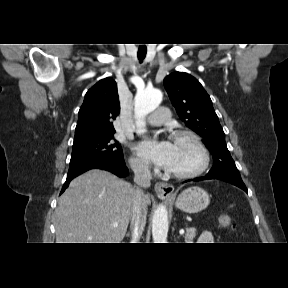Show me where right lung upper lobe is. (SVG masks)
Listing matches in <instances>:
<instances>
[{"label": "right lung upper lobe", "mask_w": 288, "mask_h": 288, "mask_svg": "<svg viewBox=\"0 0 288 288\" xmlns=\"http://www.w3.org/2000/svg\"><path fill=\"white\" fill-rule=\"evenodd\" d=\"M119 110L116 82L110 77L100 80L85 95L79 110L74 143L114 134L112 121Z\"/></svg>", "instance_id": "cb5924a9"}]
</instances>
